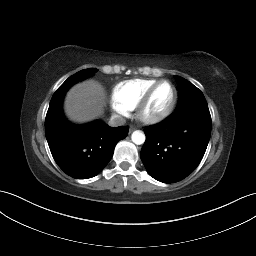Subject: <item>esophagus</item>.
Listing matches in <instances>:
<instances>
[{
  "instance_id": "1",
  "label": "esophagus",
  "mask_w": 256,
  "mask_h": 256,
  "mask_svg": "<svg viewBox=\"0 0 256 256\" xmlns=\"http://www.w3.org/2000/svg\"><path fill=\"white\" fill-rule=\"evenodd\" d=\"M135 130V127L134 126H130L129 127V133H131L132 131H134Z\"/></svg>"
}]
</instances>
